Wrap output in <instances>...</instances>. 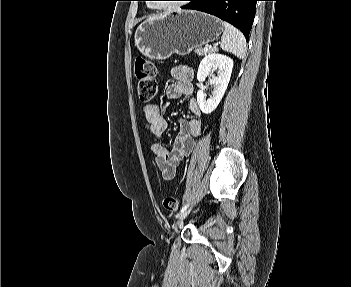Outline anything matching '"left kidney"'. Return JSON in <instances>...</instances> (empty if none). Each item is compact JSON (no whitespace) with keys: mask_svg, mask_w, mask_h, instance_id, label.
I'll use <instances>...</instances> for the list:
<instances>
[{"mask_svg":"<svg viewBox=\"0 0 351 287\" xmlns=\"http://www.w3.org/2000/svg\"><path fill=\"white\" fill-rule=\"evenodd\" d=\"M233 68V60L223 54L210 53L206 55L200 62L197 80L203 82L206 77H210V84L214 86L212 95L206 99L203 90L197 92V102L200 110L209 114L219 105L230 81ZM218 69L217 76L213 75V71Z\"/></svg>","mask_w":351,"mask_h":287,"instance_id":"5707ae66","label":"left kidney"}]
</instances>
